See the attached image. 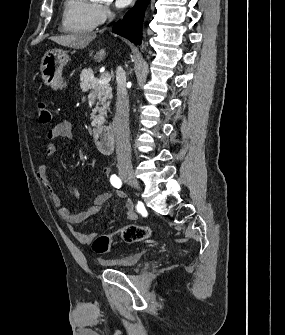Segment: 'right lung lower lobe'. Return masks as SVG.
I'll list each match as a JSON object with an SVG mask.
<instances>
[{
    "label": "right lung lower lobe",
    "mask_w": 285,
    "mask_h": 335,
    "mask_svg": "<svg viewBox=\"0 0 285 335\" xmlns=\"http://www.w3.org/2000/svg\"><path fill=\"white\" fill-rule=\"evenodd\" d=\"M150 0H138L136 6L126 13L122 21L115 23L113 31L130 40L131 42L140 45L142 40V22L144 11Z\"/></svg>",
    "instance_id": "98d812e1"
}]
</instances>
